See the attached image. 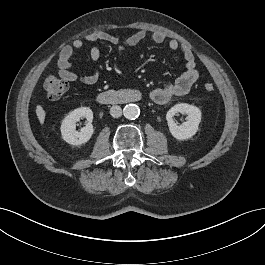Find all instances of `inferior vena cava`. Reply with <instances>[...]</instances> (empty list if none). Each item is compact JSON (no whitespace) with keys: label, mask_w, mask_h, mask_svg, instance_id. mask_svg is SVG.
Segmentation results:
<instances>
[{"label":"inferior vena cava","mask_w":265,"mask_h":265,"mask_svg":"<svg viewBox=\"0 0 265 265\" xmlns=\"http://www.w3.org/2000/svg\"><path fill=\"white\" fill-rule=\"evenodd\" d=\"M110 115L114 118H118L122 115V109L120 106L115 105L110 108Z\"/></svg>","instance_id":"602c4592"}]
</instances>
